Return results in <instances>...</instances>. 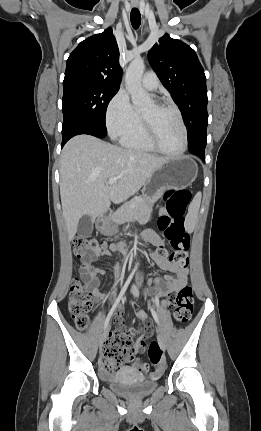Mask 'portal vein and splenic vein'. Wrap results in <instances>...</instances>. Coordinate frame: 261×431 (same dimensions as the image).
<instances>
[{"instance_id": "18ae733b", "label": "portal vein and splenic vein", "mask_w": 261, "mask_h": 431, "mask_svg": "<svg viewBox=\"0 0 261 431\" xmlns=\"http://www.w3.org/2000/svg\"><path fill=\"white\" fill-rule=\"evenodd\" d=\"M118 177H110L108 180L109 185H113L114 183H116Z\"/></svg>"}]
</instances>
